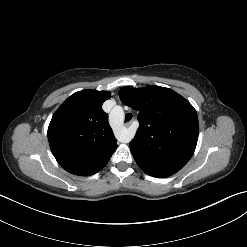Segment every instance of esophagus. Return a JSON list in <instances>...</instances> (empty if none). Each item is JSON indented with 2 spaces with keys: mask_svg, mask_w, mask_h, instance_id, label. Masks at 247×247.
Returning <instances> with one entry per match:
<instances>
[{
  "mask_svg": "<svg viewBox=\"0 0 247 247\" xmlns=\"http://www.w3.org/2000/svg\"><path fill=\"white\" fill-rule=\"evenodd\" d=\"M131 124V122H127L126 125L129 126Z\"/></svg>",
  "mask_w": 247,
  "mask_h": 247,
  "instance_id": "34e87169",
  "label": "esophagus"
}]
</instances>
